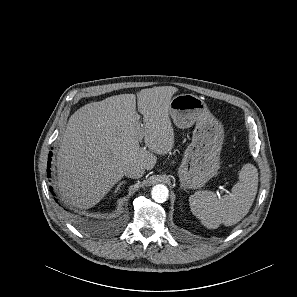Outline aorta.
I'll return each instance as SVG.
<instances>
[{"instance_id": "aorta-1", "label": "aorta", "mask_w": 297, "mask_h": 297, "mask_svg": "<svg viewBox=\"0 0 297 297\" xmlns=\"http://www.w3.org/2000/svg\"><path fill=\"white\" fill-rule=\"evenodd\" d=\"M152 199L158 203H163L168 199L169 190L163 184L155 185L151 191Z\"/></svg>"}]
</instances>
